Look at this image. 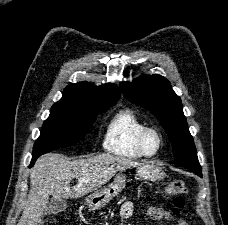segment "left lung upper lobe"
Instances as JSON below:
<instances>
[{
	"mask_svg": "<svg viewBox=\"0 0 228 225\" xmlns=\"http://www.w3.org/2000/svg\"><path fill=\"white\" fill-rule=\"evenodd\" d=\"M125 97L131 102L150 110L168 134L175 163L197 175L201 166L193 138L188 130L180 97L172 90L170 82L161 75H143L130 82L120 83Z\"/></svg>",
	"mask_w": 228,
	"mask_h": 225,
	"instance_id": "left-lung-upper-lobe-1",
	"label": "left lung upper lobe"
}]
</instances>
